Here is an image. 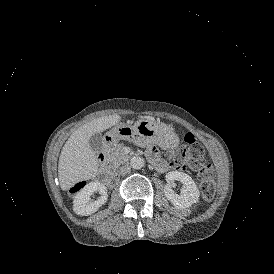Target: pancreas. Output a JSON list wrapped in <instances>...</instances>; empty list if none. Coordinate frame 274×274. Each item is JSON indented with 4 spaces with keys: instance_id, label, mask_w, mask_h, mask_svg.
Returning <instances> with one entry per match:
<instances>
[{
    "instance_id": "obj_1",
    "label": "pancreas",
    "mask_w": 274,
    "mask_h": 274,
    "mask_svg": "<svg viewBox=\"0 0 274 274\" xmlns=\"http://www.w3.org/2000/svg\"><path fill=\"white\" fill-rule=\"evenodd\" d=\"M105 160L110 161L117 169L121 164L127 163L130 156L123 153L120 146H107L103 150Z\"/></svg>"
}]
</instances>
